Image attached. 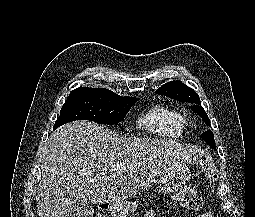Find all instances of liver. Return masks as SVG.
Returning a JSON list of instances; mask_svg holds the SVG:
<instances>
[{"mask_svg": "<svg viewBox=\"0 0 255 217\" xmlns=\"http://www.w3.org/2000/svg\"><path fill=\"white\" fill-rule=\"evenodd\" d=\"M200 153L172 141L124 137L89 121L65 124L42 150L38 215L68 217L79 201L102 204L132 197L162 172ZM116 164L123 168L113 170Z\"/></svg>", "mask_w": 255, "mask_h": 217, "instance_id": "liver-1", "label": "liver"}]
</instances>
